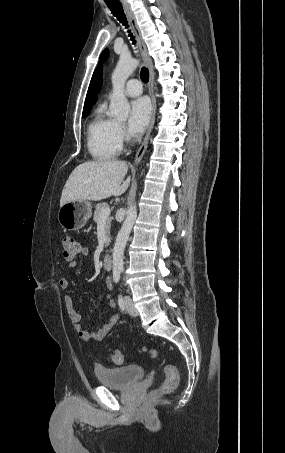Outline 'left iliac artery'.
<instances>
[{"label": "left iliac artery", "instance_id": "obj_1", "mask_svg": "<svg viewBox=\"0 0 285 453\" xmlns=\"http://www.w3.org/2000/svg\"><path fill=\"white\" fill-rule=\"evenodd\" d=\"M118 304H119L120 309L123 311L125 308H124V302H123L122 295H120L118 298Z\"/></svg>", "mask_w": 285, "mask_h": 453}]
</instances>
